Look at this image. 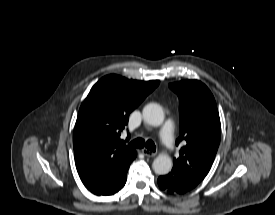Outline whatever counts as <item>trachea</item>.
<instances>
[{"label":"trachea","instance_id":"trachea-1","mask_svg":"<svg viewBox=\"0 0 275 215\" xmlns=\"http://www.w3.org/2000/svg\"><path fill=\"white\" fill-rule=\"evenodd\" d=\"M129 146L134 147V148L146 147L148 150H150L152 152L156 151V146L152 140H147L145 142V140L142 138L134 139L132 142L129 143Z\"/></svg>","mask_w":275,"mask_h":215}]
</instances>
